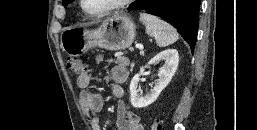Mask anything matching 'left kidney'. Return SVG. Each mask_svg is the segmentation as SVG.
Listing matches in <instances>:
<instances>
[{
    "label": "left kidney",
    "mask_w": 257,
    "mask_h": 130,
    "mask_svg": "<svg viewBox=\"0 0 257 130\" xmlns=\"http://www.w3.org/2000/svg\"><path fill=\"white\" fill-rule=\"evenodd\" d=\"M160 61H164L165 64L162 68H160L158 72L159 79L150 93H147L145 96L139 94V74H136L132 78L130 83V101L133 107H146L152 104L158 98L162 90L170 83L177 70L179 63L178 51L176 49L164 50L153 57L148 62V65L156 64Z\"/></svg>",
    "instance_id": "5707ae66"
}]
</instances>
